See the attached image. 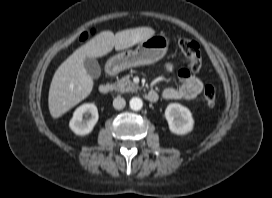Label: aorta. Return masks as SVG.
<instances>
[{
  "mask_svg": "<svg viewBox=\"0 0 272 198\" xmlns=\"http://www.w3.org/2000/svg\"><path fill=\"white\" fill-rule=\"evenodd\" d=\"M129 105H130V108L134 111H138L142 108L143 106V102L140 98L138 97H133L130 99V102H129Z\"/></svg>",
  "mask_w": 272,
  "mask_h": 198,
  "instance_id": "obj_1",
  "label": "aorta"
}]
</instances>
